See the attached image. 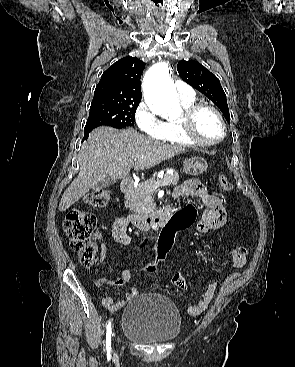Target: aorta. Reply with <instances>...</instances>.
I'll return each instance as SVG.
<instances>
[{"mask_svg":"<svg viewBox=\"0 0 295 367\" xmlns=\"http://www.w3.org/2000/svg\"><path fill=\"white\" fill-rule=\"evenodd\" d=\"M144 98L150 110L165 118L181 114V107L165 62L153 65L144 77Z\"/></svg>","mask_w":295,"mask_h":367,"instance_id":"aorta-1","label":"aorta"}]
</instances>
